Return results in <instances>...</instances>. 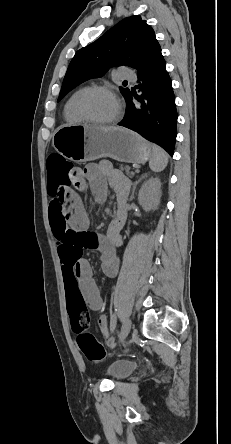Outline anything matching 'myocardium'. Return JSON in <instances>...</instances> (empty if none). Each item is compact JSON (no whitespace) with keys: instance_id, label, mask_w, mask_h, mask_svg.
I'll use <instances>...</instances> for the list:
<instances>
[{"instance_id":"myocardium-1","label":"myocardium","mask_w":231,"mask_h":444,"mask_svg":"<svg viewBox=\"0 0 231 444\" xmlns=\"http://www.w3.org/2000/svg\"><path fill=\"white\" fill-rule=\"evenodd\" d=\"M94 92H105V93L110 94L115 99L116 104H117V112L112 118H110L108 120H104V121H98V120L92 119L86 113V111L84 109V102H85L86 98ZM75 111H76L77 115L80 117V119L84 122L94 124V125H111V124L116 123L119 120V118L121 117V114L123 111V104H122L121 99L117 95V93L112 88H110L108 86H104V85H93V86L85 88L80 93V95L78 96V98L76 100Z\"/></svg>"}]
</instances>
